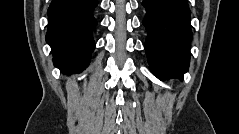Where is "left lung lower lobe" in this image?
Listing matches in <instances>:
<instances>
[{
  "label": "left lung lower lobe",
  "instance_id": "left-lung-lower-lobe-1",
  "mask_svg": "<svg viewBox=\"0 0 239 134\" xmlns=\"http://www.w3.org/2000/svg\"><path fill=\"white\" fill-rule=\"evenodd\" d=\"M142 5L150 69L161 80H182L189 67L192 38L187 0H143Z\"/></svg>",
  "mask_w": 239,
  "mask_h": 134
}]
</instances>
